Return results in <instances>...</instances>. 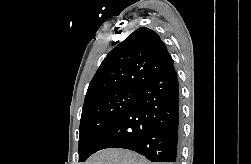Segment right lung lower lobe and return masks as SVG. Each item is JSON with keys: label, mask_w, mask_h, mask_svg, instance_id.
Returning a JSON list of instances; mask_svg holds the SVG:
<instances>
[{"label": "right lung lower lobe", "mask_w": 251, "mask_h": 164, "mask_svg": "<svg viewBox=\"0 0 251 164\" xmlns=\"http://www.w3.org/2000/svg\"><path fill=\"white\" fill-rule=\"evenodd\" d=\"M180 136L179 85L172 66L139 88L137 100L102 136L92 154L116 147L133 150L151 162H175Z\"/></svg>", "instance_id": "obj_1"}]
</instances>
